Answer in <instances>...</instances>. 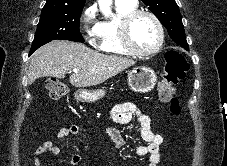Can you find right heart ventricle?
<instances>
[{"label":"right heart ventricle","instance_id":"right-heart-ventricle-1","mask_svg":"<svg viewBox=\"0 0 227 166\" xmlns=\"http://www.w3.org/2000/svg\"><path fill=\"white\" fill-rule=\"evenodd\" d=\"M115 5L116 16L99 22V40L97 47L99 50L106 53L125 55L129 52L122 46L119 40V23L123 17L135 11L136 6L118 2H115Z\"/></svg>","mask_w":227,"mask_h":166}]
</instances>
